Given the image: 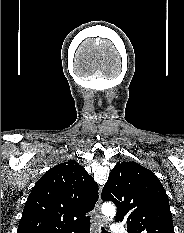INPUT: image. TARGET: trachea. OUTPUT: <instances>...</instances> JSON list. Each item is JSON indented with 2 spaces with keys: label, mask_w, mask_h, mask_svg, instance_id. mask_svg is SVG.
<instances>
[{
  "label": "trachea",
  "mask_w": 184,
  "mask_h": 233,
  "mask_svg": "<svg viewBox=\"0 0 184 233\" xmlns=\"http://www.w3.org/2000/svg\"><path fill=\"white\" fill-rule=\"evenodd\" d=\"M101 233H108V232H106L103 228H102V232Z\"/></svg>",
  "instance_id": "1"
}]
</instances>
